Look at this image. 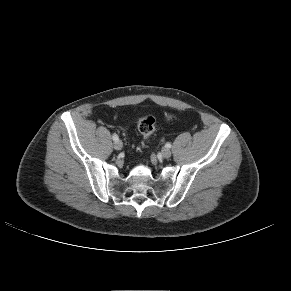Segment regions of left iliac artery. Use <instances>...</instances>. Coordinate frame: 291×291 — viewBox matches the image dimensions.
<instances>
[{
	"mask_svg": "<svg viewBox=\"0 0 291 291\" xmlns=\"http://www.w3.org/2000/svg\"><path fill=\"white\" fill-rule=\"evenodd\" d=\"M167 148H171V144L170 143H166L165 145Z\"/></svg>",
	"mask_w": 291,
	"mask_h": 291,
	"instance_id": "left-iliac-artery-1",
	"label": "left iliac artery"
}]
</instances>
